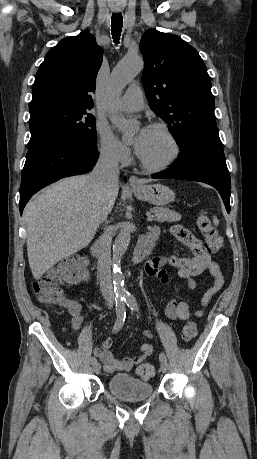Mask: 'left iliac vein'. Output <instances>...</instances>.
I'll use <instances>...</instances> for the list:
<instances>
[{
	"instance_id": "obj_1",
	"label": "left iliac vein",
	"mask_w": 257,
	"mask_h": 459,
	"mask_svg": "<svg viewBox=\"0 0 257 459\" xmlns=\"http://www.w3.org/2000/svg\"><path fill=\"white\" fill-rule=\"evenodd\" d=\"M160 367H161V371H162L163 373H166V372H167V369H168L167 361H161Z\"/></svg>"
}]
</instances>
